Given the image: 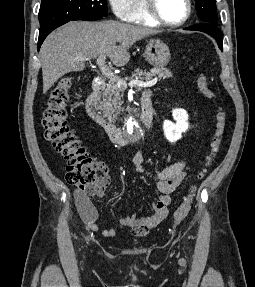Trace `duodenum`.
I'll use <instances>...</instances> for the list:
<instances>
[{
  "instance_id": "obj_1",
  "label": "duodenum",
  "mask_w": 255,
  "mask_h": 287,
  "mask_svg": "<svg viewBox=\"0 0 255 287\" xmlns=\"http://www.w3.org/2000/svg\"><path fill=\"white\" fill-rule=\"evenodd\" d=\"M107 83L103 79H97L93 85V91L86 100V112L88 116L107 134L110 141L116 145H124L129 141V136L126 130L117 127L113 123L106 120L98 110V101L101 94L104 92ZM141 103V124L143 129H149L153 120V110L151 105V98L148 92H144L140 98Z\"/></svg>"
}]
</instances>
